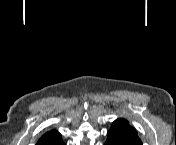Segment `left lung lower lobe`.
Wrapping results in <instances>:
<instances>
[{
	"label": "left lung lower lobe",
	"instance_id": "obj_1",
	"mask_svg": "<svg viewBox=\"0 0 176 145\" xmlns=\"http://www.w3.org/2000/svg\"><path fill=\"white\" fill-rule=\"evenodd\" d=\"M107 140H106V143L105 145H126L124 144L120 138L110 134V133H107Z\"/></svg>",
	"mask_w": 176,
	"mask_h": 145
}]
</instances>
